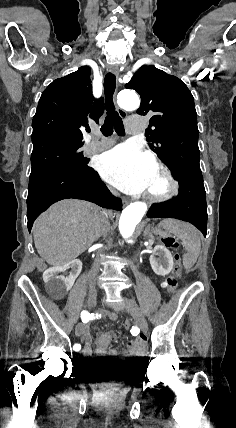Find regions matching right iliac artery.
<instances>
[{
	"mask_svg": "<svg viewBox=\"0 0 236 428\" xmlns=\"http://www.w3.org/2000/svg\"><path fill=\"white\" fill-rule=\"evenodd\" d=\"M91 314L88 312V311H82L81 312V319H82V322L83 323H87V322H89V320H91ZM81 349V345L80 344H75L74 346H73V350H75V351H79Z\"/></svg>",
	"mask_w": 236,
	"mask_h": 428,
	"instance_id": "right-iliac-artery-1",
	"label": "right iliac artery"
}]
</instances>
